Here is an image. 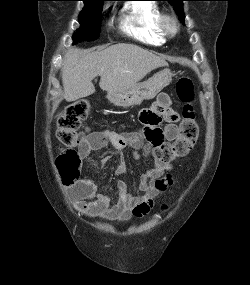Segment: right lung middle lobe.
<instances>
[{
  "mask_svg": "<svg viewBox=\"0 0 250 285\" xmlns=\"http://www.w3.org/2000/svg\"><path fill=\"white\" fill-rule=\"evenodd\" d=\"M84 8L79 14L80 28L73 35V42L93 41L100 35L101 13L106 0H82Z\"/></svg>",
  "mask_w": 250,
  "mask_h": 285,
  "instance_id": "right-lung-middle-lobe-1",
  "label": "right lung middle lobe"
}]
</instances>
